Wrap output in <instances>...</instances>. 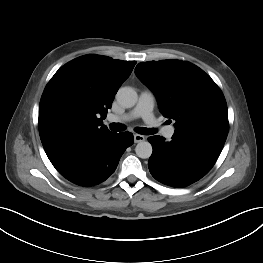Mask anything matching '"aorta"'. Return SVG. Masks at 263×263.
<instances>
[{"label": "aorta", "instance_id": "762f6f07", "mask_svg": "<svg viewBox=\"0 0 263 263\" xmlns=\"http://www.w3.org/2000/svg\"><path fill=\"white\" fill-rule=\"evenodd\" d=\"M116 99L121 106L131 108L136 104L138 97L133 88L122 87L118 90ZM152 151V145L147 141H141L135 147L136 155L142 159L149 158L152 155Z\"/></svg>", "mask_w": 263, "mask_h": 263}]
</instances>
